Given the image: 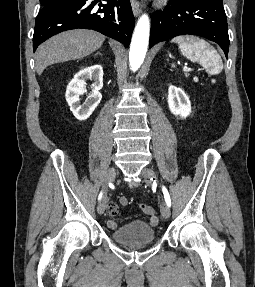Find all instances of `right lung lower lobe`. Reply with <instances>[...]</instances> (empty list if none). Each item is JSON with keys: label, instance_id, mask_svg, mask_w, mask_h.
Segmentation results:
<instances>
[{"label": "right lung lower lobe", "instance_id": "right-lung-lower-lobe-1", "mask_svg": "<svg viewBox=\"0 0 255 287\" xmlns=\"http://www.w3.org/2000/svg\"><path fill=\"white\" fill-rule=\"evenodd\" d=\"M100 1L70 0L44 6L36 18L33 50L51 36L77 28L96 30L128 47L135 25L130 0Z\"/></svg>", "mask_w": 255, "mask_h": 287}]
</instances>
